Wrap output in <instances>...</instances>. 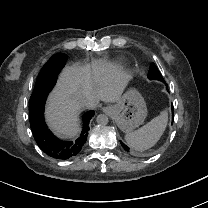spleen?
Listing matches in <instances>:
<instances>
[{
    "mask_svg": "<svg viewBox=\"0 0 208 208\" xmlns=\"http://www.w3.org/2000/svg\"><path fill=\"white\" fill-rule=\"evenodd\" d=\"M167 124V114L153 118L138 130L126 135L128 145L136 150H144L153 146L163 134Z\"/></svg>",
    "mask_w": 208,
    "mask_h": 208,
    "instance_id": "3e777b00",
    "label": "spleen"
}]
</instances>
